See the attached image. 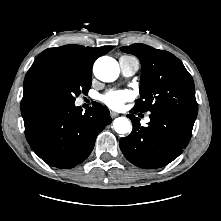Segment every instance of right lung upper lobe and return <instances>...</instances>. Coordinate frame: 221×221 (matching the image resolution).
I'll use <instances>...</instances> for the list:
<instances>
[{
    "mask_svg": "<svg viewBox=\"0 0 221 221\" xmlns=\"http://www.w3.org/2000/svg\"><path fill=\"white\" fill-rule=\"evenodd\" d=\"M112 46L99 48L79 45H66L49 48L40 53L28 70L24 80V93L21 101V112L38 102L33 93L37 78L52 68L68 67L92 73L94 61L112 50Z\"/></svg>",
    "mask_w": 221,
    "mask_h": 221,
    "instance_id": "cb5924a9",
    "label": "right lung upper lobe"
}]
</instances>
